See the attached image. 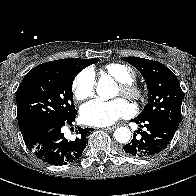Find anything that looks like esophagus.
Returning <instances> with one entry per match:
<instances>
[{
	"instance_id": "34e87169",
	"label": "esophagus",
	"mask_w": 196,
	"mask_h": 196,
	"mask_svg": "<svg viewBox=\"0 0 196 196\" xmlns=\"http://www.w3.org/2000/svg\"><path fill=\"white\" fill-rule=\"evenodd\" d=\"M115 128H116V126H112V127L105 128V130H114Z\"/></svg>"
}]
</instances>
